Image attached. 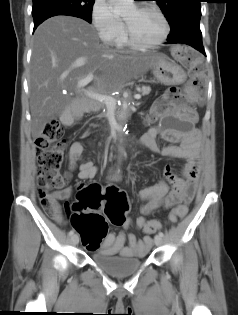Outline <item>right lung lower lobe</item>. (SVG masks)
I'll use <instances>...</instances> for the list:
<instances>
[{
	"label": "right lung lower lobe",
	"instance_id": "98d812e1",
	"mask_svg": "<svg viewBox=\"0 0 238 315\" xmlns=\"http://www.w3.org/2000/svg\"><path fill=\"white\" fill-rule=\"evenodd\" d=\"M56 15H68V16H75V17H79V18L84 19L80 15H78L76 13H71L68 11H62V10L46 11V12H42V13H39V14L33 16V18H34V31L44 20H46L52 16H56ZM84 20H86V19H84ZM87 22H89V21H87Z\"/></svg>",
	"mask_w": 238,
	"mask_h": 315
}]
</instances>
